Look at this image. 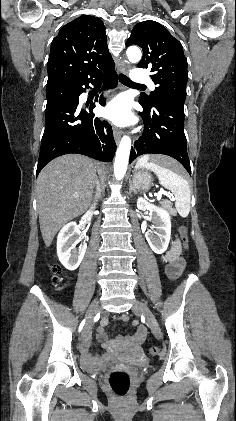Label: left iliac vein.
<instances>
[{"label":"left iliac vein","instance_id":"obj_1","mask_svg":"<svg viewBox=\"0 0 236 421\" xmlns=\"http://www.w3.org/2000/svg\"><path fill=\"white\" fill-rule=\"evenodd\" d=\"M132 310L136 315L142 314L145 317V319L148 323V326H149L150 330L152 331V333L157 338L161 337V331H160L159 324H158L155 316L153 315V313L151 312V310L149 309V307L145 303H142L138 299H135L134 300V306H133Z\"/></svg>","mask_w":236,"mask_h":421}]
</instances>
